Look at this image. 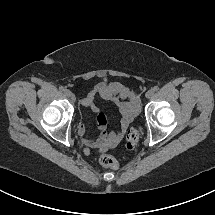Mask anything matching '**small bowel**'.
Masks as SVG:
<instances>
[{
	"instance_id": "small-bowel-1",
	"label": "small bowel",
	"mask_w": 215,
	"mask_h": 215,
	"mask_svg": "<svg viewBox=\"0 0 215 215\" xmlns=\"http://www.w3.org/2000/svg\"><path fill=\"white\" fill-rule=\"evenodd\" d=\"M101 98L114 103L121 112V126L116 132H108L107 120L104 113L95 104V99ZM82 104L95 114L99 134L96 137L86 135V124L80 123L77 127V134L88 148L96 149L97 152H104L108 148L115 147L123 138L125 131L133 118L140 111V96L130 90L121 82H100L92 92L82 100Z\"/></svg>"
}]
</instances>
